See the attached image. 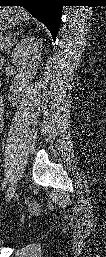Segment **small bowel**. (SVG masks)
I'll return each mask as SVG.
<instances>
[{
    "label": "small bowel",
    "instance_id": "obj_1",
    "mask_svg": "<svg viewBox=\"0 0 106 257\" xmlns=\"http://www.w3.org/2000/svg\"><path fill=\"white\" fill-rule=\"evenodd\" d=\"M1 109V118H0V120H1V129H2V124H3V122H2V108H0Z\"/></svg>",
    "mask_w": 106,
    "mask_h": 257
}]
</instances>
